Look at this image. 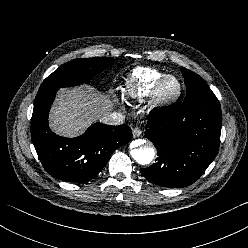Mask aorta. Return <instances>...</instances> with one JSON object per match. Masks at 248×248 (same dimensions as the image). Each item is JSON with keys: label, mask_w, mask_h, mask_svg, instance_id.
<instances>
[{"label": "aorta", "mask_w": 248, "mask_h": 248, "mask_svg": "<svg viewBox=\"0 0 248 248\" xmlns=\"http://www.w3.org/2000/svg\"><path fill=\"white\" fill-rule=\"evenodd\" d=\"M134 143L137 148L131 149L130 154L132 158L141 165L149 164L155 156V150L151 143L145 140H136Z\"/></svg>", "instance_id": "762f6f07"}]
</instances>
